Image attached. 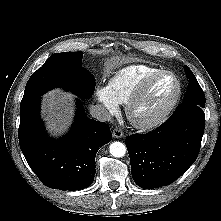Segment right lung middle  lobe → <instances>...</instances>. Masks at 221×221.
<instances>
[{
  "label": "right lung middle lobe",
  "mask_w": 221,
  "mask_h": 221,
  "mask_svg": "<svg viewBox=\"0 0 221 221\" xmlns=\"http://www.w3.org/2000/svg\"><path fill=\"white\" fill-rule=\"evenodd\" d=\"M82 52H63L51 55L28 80L20 109L29 105L46 91L63 87L88 98L94 93L95 78L81 67Z\"/></svg>",
  "instance_id": "1"
}]
</instances>
